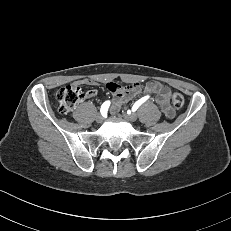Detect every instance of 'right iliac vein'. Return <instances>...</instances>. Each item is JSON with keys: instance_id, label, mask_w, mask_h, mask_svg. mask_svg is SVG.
Segmentation results:
<instances>
[{"instance_id": "obj_1", "label": "right iliac vein", "mask_w": 231, "mask_h": 231, "mask_svg": "<svg viewBox=\"0 0 231 231\" xmlns=\"http://www.w3.org/2000/svg\"><path fill=\"white\" fill-rule=\"evenodd\" d=\"M96 121H97L98 123H102V122L104 121V116L101 115V114H98V115L96 116Z\"/></svg>"}]
</instances>
